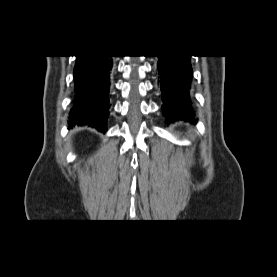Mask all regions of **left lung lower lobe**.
Here are the masks:
<instances>
[{"label": "left lung lower lobe", "mask_w": 277, "mask_h": 277, "mask_svg": "<svg viewBox=\"0 0 277 277\" xmlns=\"http://www.w3.org/2000/svg\"><path fill=\"white\" fill-rule=\"evenodd\" d=\"M158 57L159 86L166 123L184 120L196 123L190 107L189 88L192 79L190 56L161 55Z\"/></svg>", "instance_id": "left-lung-lower-lobe-1"}]
</instances>
